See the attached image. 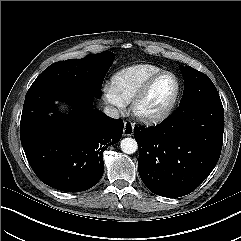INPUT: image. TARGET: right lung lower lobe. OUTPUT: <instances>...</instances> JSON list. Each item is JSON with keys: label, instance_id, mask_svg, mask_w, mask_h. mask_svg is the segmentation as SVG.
Segmentation results:
<instances>
[{"label": "right lung lower lobe", "instance_id": "right-lung-lower-lobe-1", "mask_svg": "<svg viewBox=\"0 0 241 241\" xmlns=\"http://www.w3.org/2000/svg\"><path fill=\"white\" fill-rule=\"evenodd\" d=\"M94 98L66 80L31 86L26 94L21 144L37 177L52 188L80 192L96 185L104 171L103 152L122 136V120L94 109ZM56 100L69 101L72 114L56 115Z\"/></svg>", "mask_w": 241, "mask_h": 241}]
</instances>
